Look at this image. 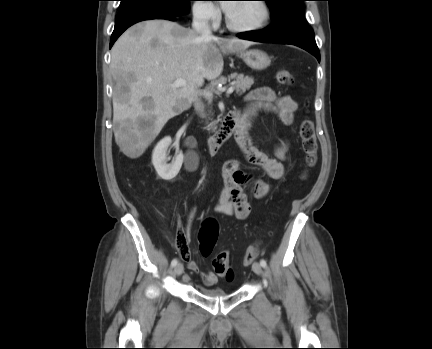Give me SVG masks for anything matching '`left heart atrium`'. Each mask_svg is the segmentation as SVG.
I'll return each instance as SVG.
<instances>
[{"mask_svg": "<svg viewBox=\"0 0 432 349\" xmlns=\"http://www.w3.org/2000/svg\"><path fill=\"white\" fill-rule=\"evenodd\" d=\"M234 3L232 2H225L223 3V9L228 13L233 8Z\"/></svg>", "mask_w": 432, "mask_h": 349, "instance_id": "left-heart-atrium-1", "label": "left heart atrium"}]
</instances>
